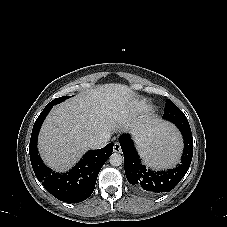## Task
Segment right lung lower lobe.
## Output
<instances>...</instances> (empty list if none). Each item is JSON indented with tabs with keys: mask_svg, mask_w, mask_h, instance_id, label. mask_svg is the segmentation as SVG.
<instances>
[{
	"mask_svg": "<svg viewBox=\"0 0 227 227\" xmlns=\"http://www.w3.org/2000/svg\"><path fill=\"white\" fill-rule=\"evenodd\" d=\"M53 105L48 104L34 123L30 139V160L37 179L57 199L78 203L87 199L94 191L98 173L112 155L113 143L102 149L88 151L68 173L58 174L45 166L37 149V138L42 122Z\"/></svg>",
	"mask_w": 227,
	"mask_h": 227,
	"instance_id": "1",
	"label": "right lung lower lobe"
}]
</instances>
